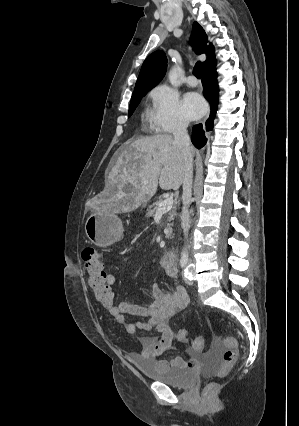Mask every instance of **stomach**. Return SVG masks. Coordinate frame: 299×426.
I'll return each mask as SVG.
<instances>
[{
    "label": "stomach",
    "instance_id": "stomach-1",
    "mask_svg": "<svg viewBox=\"0 0 299 426\" xmlns=\"http://www.w3.org/2000/svg\"><path fill=\"white\" fill-rule=\"evenodd\" d=\"M85 232L88 239L99 247H108L123 237L121 219L109 210L93 212L86 220Z\"/></svg>",
    "mask_w": 299,
    "mask_h": 426
}]
</instances>
